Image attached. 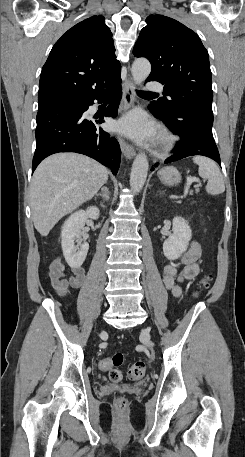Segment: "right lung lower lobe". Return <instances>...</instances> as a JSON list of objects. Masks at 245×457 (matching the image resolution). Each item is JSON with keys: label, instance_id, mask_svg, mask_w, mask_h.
I'll list each match as a JSON object with an SVG mask.
<instances>
[{"label": "right lung lower lobe", "instance_id": "right-lung-lower-lobe-1", "mask_svg": "<svg viewBox=\"0 0 245 457\" xmlns=\"http://www.w3.org/2000/svg\"><path fill=\"white\" fill-rule=\"evenodd\" d=\"M121 96L120 78L90 96L39 109L32 171L51 154L77 152L96 159L116 175L121 158L119 143L114 136L96 127L104 122L103 115L94 119L85 112L94 100L108 101L104 116L115 118Z\"/></svg>", "mask_w": 245, "mask_h": 457}]
</instances>
